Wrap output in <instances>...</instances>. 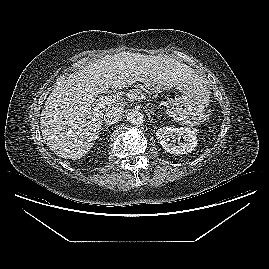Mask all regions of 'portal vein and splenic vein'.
I'll return each instance as SVG.
<instances>
[{"label": "portal vein and splenic vein", "mask_w": 269, "mask_h": 269, "mask_svg": "<svg viewBox=\"0 0 269 269\" xmlns=\"http://www.w3.org/2000/svg\"><path fill=\"white\" fill-rule=\"evenodd\" d=\"M119 100H121V96H119L118 94H112L109 96L102 97L100 101L96 104V107H94V111H98L99 109H102L105 106L110 105Z\"/></svg>", "instance_id": "18ae733b"}]
</instances>
